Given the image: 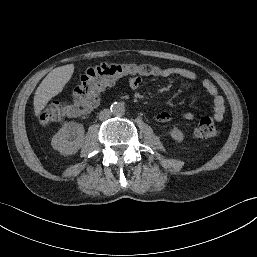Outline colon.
<instances>
[{"label": "colon", "instance_id": "5ec220e1", "mask_svg": "<svg viewBox=\"0 0 257 257\" xmlns=\"http://www.w3.org/2000/svg\"><path fill=\"white\" fill-rule=\"evenodd\" d=\"M154 65L146 61L130 63H102L86 70L73 92L71 103L45 107L39 119L42 123L60 121L65 115H79L91 110L98 104L99 92L116 80L134 75L151 76L156 74ZM217 122L210 117L202 118L194 130L199 139L218 136Z\"/></svg>", "mask_w": 257, "mask_h": 257}]
</instances>
